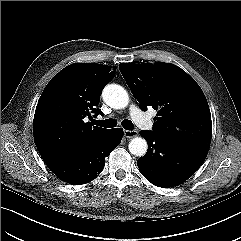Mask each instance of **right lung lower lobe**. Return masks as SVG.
Wrapping results in <instances>:
<instances>
[{"label": "right lung lower lobe", "mask_w": 241, "mask_h": 241, "mask_svg": "<svg viewBox=\"0 0 241 241\" xmlns=\"http://www.w3.org/2000/svg\"><path fill=\"white\" fill-rule=\"evenodd\" d=\"M121 128L111 129L102 139L71 156L47 162L49 169L63 181L72 185L90 182L103 170L105 157L120 144Z\"/></svg>", "instance_id": "1"}]
</instances>
